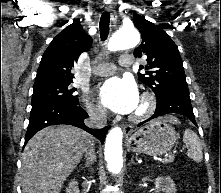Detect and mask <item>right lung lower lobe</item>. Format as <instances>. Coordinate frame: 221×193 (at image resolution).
<instances>
[{
  "label": "right lung lower lobe",
  "instance_id": "right-lung-lower-lobe-1",
  "mask_svg": "<svg viewBox=\"0 0 221 193\" xmlns=\"http://www.w3.org/2000/svg\"><path fill=\"white\" fill-rule=\"evenodd\" d=\"M86 118H88V114L79 106V102L57 101L34 105L30 113L25 144L39 130L58 124H69L84 129L103 143L110 126L102 129H91L84 124Z\"/></svg>",
  "mask_w": 221,
  "mask_h": 193
}]
</instances>
